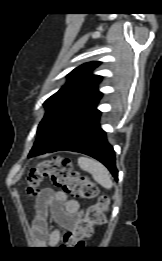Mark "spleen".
Returning <instances> with one entry per match:
<instances>
[{"label": "spleen", "mask_w": 162, "mask_h": 261, "mask_svg": "<svg viewBox=\"0 0 162 261\" xmlns=\"http://www.w3.org/2000/svg\"><path fill=\"white\" fill-rule=\"evenodd\" d=\"M78 165L82 170L89 172L101 186L106 189L112 188L113 182L110 173L100 162L87 157H79Z\"/></svg>", "instance_id": "spleen-1"}]
</instances>
